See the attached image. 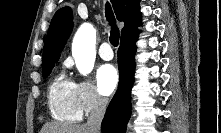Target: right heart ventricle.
I'll list each match as a JSON object with an SVG mask.
<instances>
[{"label": "right heart ventricle", "instance_id": "1", "mask_svg": "<svg viewBox=\"0 0 221 133\" xmlns=\"http://www.w3.org/2000/svg\"><path fill=\"white\" fill-rule=\"evenodd\" d=\"M48 106L51 116L61 123H76L82 118L76 83L63 73L54 77L48 87Z\"/></svg>", "mask_w": 221, "mask_h": 133}]
</instances>
